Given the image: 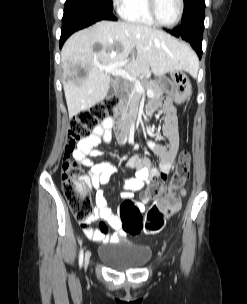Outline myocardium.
<instances>
[{"label":"myocardium","mask_w":247,"mask_h":304,"mask_svg":"<svg viewBox=\"0 0 247 304\" xmlns=\"http://www.w3.org/2000/svg\"><path fill=\"white\" fill-rule=\"evenodd\" d=\"M147 8H148V12H149L150 17L152 18V20L154 21L155 24H157L161 27H165V28H173L180 23V21L183 17L185 3H184V0H179L178 17L171 24H165V23H163L159 20L158 15H157V11H156V0H147Z\"/></svg>","instance_id":"f54148a6"}]
</instances>
